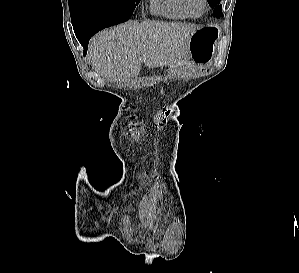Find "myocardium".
<instances>
[{
  "instance_id": "f54148a6",
  "label": "myocardium",
  "mask_w": 299,
  "mask_h": 273,
  "mask_svg": "<svg viewBox=\"0 0 299 273\" xmlns=\"http://www.w3.org/2000/svg\"><path fill=\"white\" fill-rule=\"evenodd\" d=\"M181 2H182V6H183L184 10L186 11V13L192 18H199V17L203 16L206 13L207 9H208V1L207 0H202V2H203V11L200 14L195 15L189 9L188 0H181Z\"/></svg>"
}]
</instances>
